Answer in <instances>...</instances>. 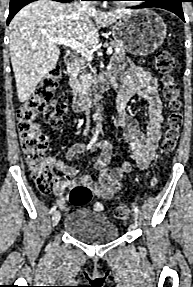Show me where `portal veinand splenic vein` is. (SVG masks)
Listing matches in <instances>:
<instances>
[{"mask_svg":"<svg viewBox=\"0 0 193 287\" xmlns=\"http://www.w3.org/2000/svg\"><path fill=\"white\" fill-rule=\"evenodd\" d=\"M50 42H54L58 45H65L75 51H77L83 58L91 62L93 57L92 53L80 42L76 41L74 38H49ZM113 52L112 48L107 49V55H111Z\"/></svg>","mask_w":193,"mask_h":287,"instance_id":"portal-vein-and-splenic-vein-1","label":"portal vein and splenic vein"}]
</instances>
